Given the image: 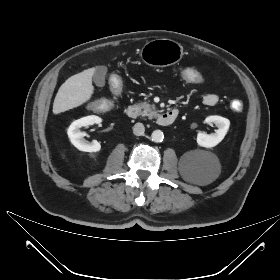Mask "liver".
<instances>
[{"instance_id":"1","label":"liver","mask_w":280,"mask_h":280,"mask_svg":"<svg viewBox=\"0 0 280 280\" xmlns=\"http://www.w3.org/2000/svg\"><path fill=\"white\" fill-rule=\"evenodd\" d=\"M96 68H89L69 77L59 88L53 103V113L59 114L81 106L94 93L92 77Z\"/></svg>"}]
</instances>
